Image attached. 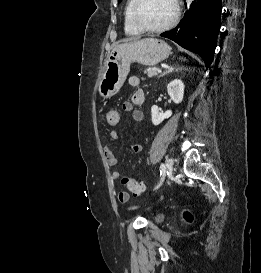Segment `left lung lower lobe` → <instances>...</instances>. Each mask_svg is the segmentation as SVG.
<instances>
[{"mask_svg":"<svg viewBox=\"0 0 261 273\" xmlns=\"http://www.w3.org/2000/svg\"><path fill=\"white\" fill-rule=\"evenodd\" d=\"M221 0H195L177 27L161 34L202 57L208 68L214 58L221 26Z\"/></svg>","mask_w":261,"mask_h":273,"instance_id":"left-lung-lower-lobe-1","label":"left lung lower lobe"}]
</instances>
